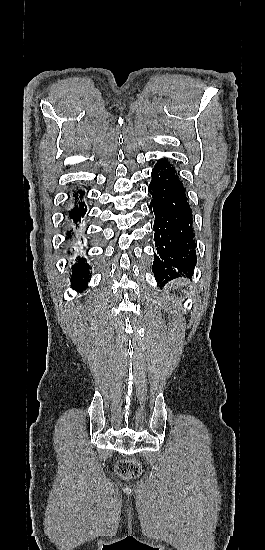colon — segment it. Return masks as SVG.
Instances as JSON below:
<instances>
[{"mask_svg": "<svg viewBox=\"0 0 265 550\" xmlns=\"http://www.w3.org/2000/svg\"><path fill=\"white\" fill-rule=\"evenodd\" d=\"M117 474L123 478H135L141 474V466L134 459H124L115 466Z\"/></svg>", "mask_w": 265, "mask_h": 550, "instance_id": "colon-1", "label": "colon"}]
</instances>
